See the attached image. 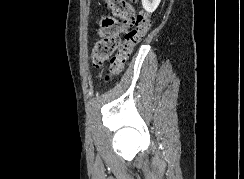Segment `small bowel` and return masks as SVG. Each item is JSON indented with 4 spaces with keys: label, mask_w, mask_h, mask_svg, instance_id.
<instances>
[{
    "label": "small bowel",
    "mask_w": 244,
    "mask_h": 179,
    "mask_svg": "<svg viewBox=\"0 0 244 179\" xmlns=\"http://www.w3.org/2000/svg\"><path fill=\"white\" fill-rule=\"evenodd\" d=\"M105 26H106V27H109V26H110V24H109L108 22H106V23H105Z\"/></svg>",
    "instance_id": "small-bowel-1"
}]
</instances>
